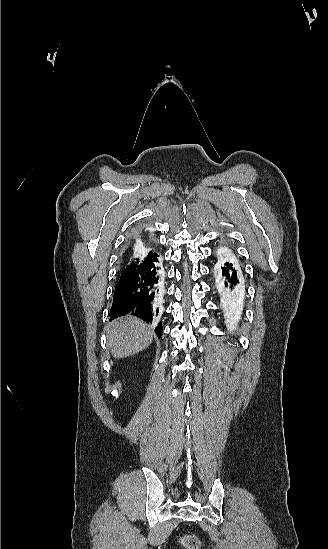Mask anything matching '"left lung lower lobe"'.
<instances>
[{"label": "left lung lower lobe", "mask_w": 328, "mask_h": 549, "mask_svg": "<svg viewBox=\"0 0 328 549\" xmlns=\"http://www.w3.org/2000/svg\"><path fill=\"white\" fill-rule=\"evenodd\" d=\"M217 256L220 257V260L214 268V287L221 296L224 308L229 309V298L235 293H239L242 287L236 265L232 263L229 250L222 249L217 252Z\"/></svg>", "instance_id": "1"}]
</instances>
